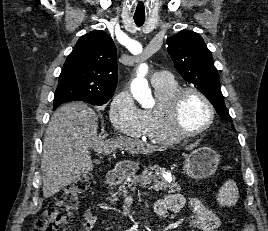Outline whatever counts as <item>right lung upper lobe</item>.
Instances as JSON below:
<instances>
[{
	"label": "right lung upper lobe",
	"instance_id": "1",
	"mask_svg": "<svg viewBox=\"0 0 268 231\" xmlns=\"http://www.w3.org/2000/svg\"><path fill=\"white\" fill-rule=\"evenodd\" d=\"M116 47L102 30L83 35L68 55L59 76L57 104L112 98L117 85Z\"/></svg>",
	"mask_w": 268,
	"mask_h": 231
}]
</instances>
